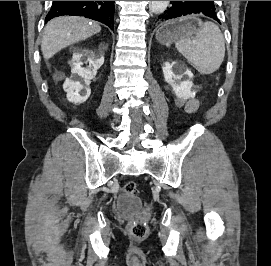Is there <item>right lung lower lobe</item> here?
I'll list each match as a JSON object with an SVG mask.
<instances>
[{
  "label": "right lung lower lobe",
  "instance_id": "right-lung-lower-lobe-1",
  "mask_svg": "<svg viewBox=\"0 0 271 266\" xmlns=\"http://www.w3.org/2000/svg\"><path fill=\"white\" fill-rule=\"evenodd\" d=\"M115 1H53L45 22L61 15L84 16L113 29Z\"/></svg>",
  "mask_w": 271,
  "mask_h": 266
}]
</instances>
